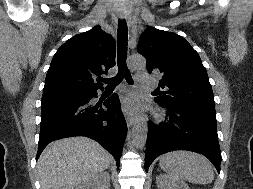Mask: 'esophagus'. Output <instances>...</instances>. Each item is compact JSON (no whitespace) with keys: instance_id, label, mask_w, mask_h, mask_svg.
Wrapping results in <instances>:
<instances>
[{"instance_id":"obj_1","label":"esophagus","mask_w":253,"mask_h":189,"mask_svg":"<svg viewBox=\"0 0 253 189\" xmlns=\"http://www.w3.org/2000/svg\"><path fill=\"white\" fill-rule=\"evenodd\" d=\"M121 18H125L124 15L121 16ZM127 125L129 127L133 126V124L135 123V118L134 117H127Z\"/></svg>"}]
</instances>
